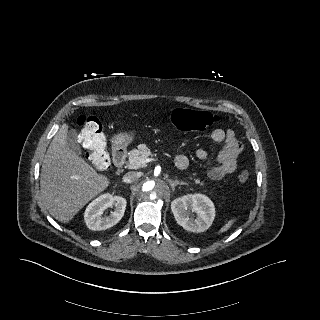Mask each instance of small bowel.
Wrapping results in <instances>:
<instances>
[{
	"instance_id": "obj_1",
	"label": "small bowel",
	"mask_w": 320,
	"mask_h": 320,
	"mask_svg": "<svg viewBox=\"0 0 320 320\" xmlns=\"http://www.w3.org/2000/svg\"><path fill=\"white\" fill-rule=\"evenodd\" d=\"M211 139L217 143H224L216 157L215 166L209 170L211 179L220 180L236 170L237 160L243 150V145L232 130L214 129L211 132ZM196 156L200 160H207L209 153L204 149H198ZM175 163L179 169H185L189 165V159L186 155L180 154L176 157Z\"/></svg>"
}]
</instances>
